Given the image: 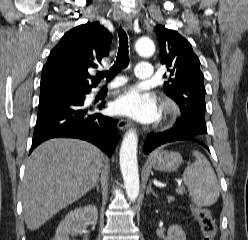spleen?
Listing matches in <instances>:
<instances>
[{
	"instance_id": "spleen-1",
	"label": "spleen",
	"mask_w": 248,
	"mask_h": 240,
	"mask_svg": "<svg viewBox=\"0 0 248 240\" xmlns=\"http://www.w3.org/2000/svg\"><path fill=\"white\" fill-rule=\"evenodd\" d=\"M193 155L196 160L186 167L183 173L184 183L196 205H213L220 193L216 174L203 154L193 151Z\"/></svg>"
}]
</instances>
